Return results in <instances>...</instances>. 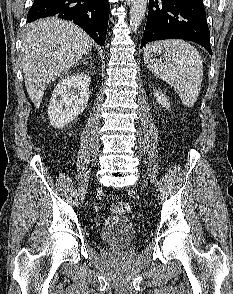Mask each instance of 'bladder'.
<instances>
[{
    "mask_svg": "<svg viewBox=\"0 0 233 294\" xmlns=\"http://www.w3.org/2000/svg\"><path fill=\"white\" fill-rule=\"evenodd\" d=\"M136 226L126 216H110L102 224L100 239L112 248L128 247L136 237Z\"/></svg>",
    "mask_w": 233,
    "mask_h": 294,
    "instance_id": "31cf9c89",
    "label": "bladder"
}]
</instances>
